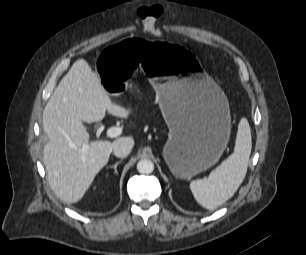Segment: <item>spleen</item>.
<instances>
[{
	"instance_id": "1",
	"label": "spleen",
	"mask_w": 306,
	"mask_h": 255,
	"mask_svg": "<svg viewBox=\"0 0 306 255\" xmlns=\"http://www.w3.org/2000/svg\"><path fill=\"white\" fill-rule=\"evenodd\" d=\"M252 148L251 130L246 118L238 125L234 152L205 179L190 183L196 201L206 209H215L227 202L243 182Z\"/></svg>"
}]
</instances>
